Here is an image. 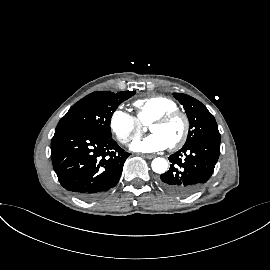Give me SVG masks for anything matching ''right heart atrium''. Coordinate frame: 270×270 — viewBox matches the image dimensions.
<instances>
[{
  "label": "right heart atrium",
  "mask_w": 270,
  "mask_h": 270,
  "mask_svg": "<svg viewBox=\"0 0 270 270\" xmlns=\"http://www.w3.org/2000/svg\"><path fill=\"white\" fill-rule=\"evenodd\" d=\"M109 128L123 145H128L142 131V125L138 118L122 108H117L111 113Z\"/></svg>",
  "instance_id": "d8ad5b80"
}]
</instances>
